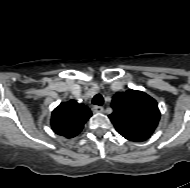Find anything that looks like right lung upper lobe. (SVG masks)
Here are the masks:
<instances>
[{
	"label": "right lung upper lobe",
	"instance_id": "cb5924a9",
	"mask_svg": "<svg viewBox=\"0 0 190 188\" xmlns=\"http://www.w3.org/2000/svg\"><path fill=\"white\" fill-rule=\"evenodd\" d=\"M92 116L90 109L75 100L60 103L51 116L53 131L66 138L77 136L83 129L86 121Z\"/></svg>",
	"mask_w": 190,
	"mask_h": 188
}]
</instances>
